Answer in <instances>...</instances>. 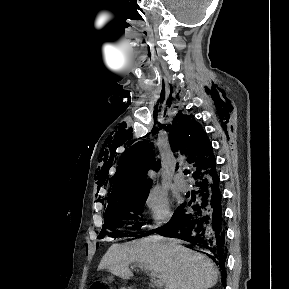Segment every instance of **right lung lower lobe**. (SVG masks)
I'll return each instance as SVG.
<instances>
[{"label":"right lung lower lobe","mask_w":289,"mask_h":289,"mask_svg":"<svg viewBox=\"0 0 289 289\" xmlns=\"http://www.w3.org/2000/svg\"><path fill=\"white\" fill-rule=\"evenodd\" d=\"M197 200L185 203L175 212L164 226L147 233H158L165 237L178 238L194 244L206 252L220 267L222 283L225 287L227 273L225 261L227 242L225 239L226 222L224 220L219 190V178L215 169L196 180Z\"/></svg>","instance_id":"1"}]
</instances>
